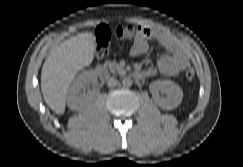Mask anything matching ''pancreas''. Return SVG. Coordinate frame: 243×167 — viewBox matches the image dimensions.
Returning <instances> with one entry per match:
<instances>
[{
    "instance_id": "1",
    "label": "pancreas",
    "mask_w": 243,
    "mask_h": 167,
    "mask_svg": "<svg viewBox=\"0 0 243 167\" xmlns=\"http://www.w3.org/2000/svg\"><path fill=\"white\" fill-rule=\"evenodd\" d=\"M104 66L106 68H108L113 73L114 72H123L124 71V69L118 63H116L115 61H113V62L108 61V62H106L104 64Z\"/></svg>"
}]
</instances>
